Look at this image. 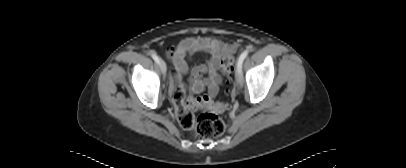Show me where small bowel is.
Wrapping results in <instances>:
<instances>
[{
  "label": "small bowel",
  "mask_w": 406,
  "mask_h": 168,
  "mask_svg": "<svg viewBox=\"0 0 406 168\" xmlns=\"http://www.w3.org/2000/svg\"><path fill=\"white\" fill-rule=\"evenodd\" d=\"M235 45L208 37H190L181 41L177 46L168 47L166 55L171 58L174 69L171 73V92L174 88L182 87V77L188 72V55L203 53L209 56L205 64L194 67L190 72V82L195 93H202L207 87V98H214L219 90L220 76L218 70L221 60L234 53ZM206 74L205 79L202 76Z\"/></svg>",
  "instance_id": "small-bowel-1"
}]
</instances>
